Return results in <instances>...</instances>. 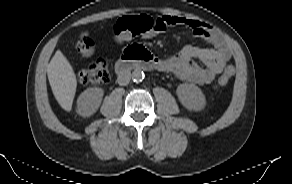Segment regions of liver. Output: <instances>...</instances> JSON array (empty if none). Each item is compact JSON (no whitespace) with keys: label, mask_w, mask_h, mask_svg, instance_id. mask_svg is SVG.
I'll use <instances>...</instances> for the list:
<instances>
[{"label":"liver","mask_w":292,"mask_h":184,"mask_svg":"<svg viewBox=\"0 0 292 184\" xmlns=\"http://www.w3.org/2000/svg\"><path fill=\"white\" fill-rule=\"evenodd\" d=\"M47 76L55 99L69 112L76 93L77 79L71 64L60 50L56 51L48 64Z\"/></svg>","instance_id":"obj_1"}]
</instances>
